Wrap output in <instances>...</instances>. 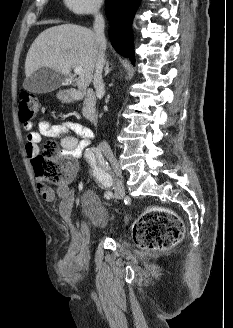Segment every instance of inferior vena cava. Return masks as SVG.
<instances>
[{"label":"inferior vena cava","mask_w":233,"mask_h":328,"mask_svg":"<svg viewBox=\"0 0 233 328\" xmlns=\"http://www.w3.org/2000/svg\"><path fill=\"white\" fill-rule=\"evenodd\" d=\"M94 16H95V21L93 24L94 31L96 34L97 41L99 42L100 45H105L106 40H105V34H104V18L103 16L99 13V8H97L94 11ZM105 54L102 50H99L98 57H97V62L95 65V72L93 76V85L94 88L96 89L97 95H104L105 93V85L103 83L102 79V70L103 66L105 64ZM100 149L102 150H108L110 147L108 143L102 142L99 145Z\"/></svg>","instance_id":"602c4592"}]
</instances>
